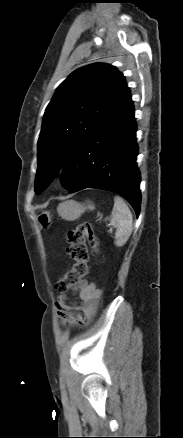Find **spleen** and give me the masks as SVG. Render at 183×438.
Masks as SVG:
<instances>
[{"mask_svg":"<svg viewBox=\"0 0 183 438\" xmlns=\"http://www.w3.org/2000/svg\"><path fill=\"white\" fill-rule=\"evenodd\" d=\"M111 224L116 227L115 245L121 247L128 241L133 229V217L122 198L114 197Z\"/></svg>","mask_w":183,"mask_h":438,"instance_id":"obj_1","label":"spleen"}]
</instances>
